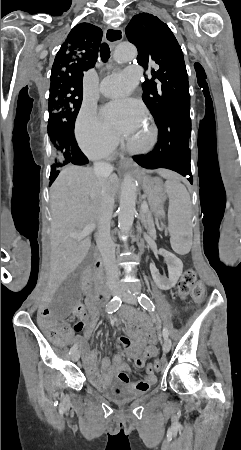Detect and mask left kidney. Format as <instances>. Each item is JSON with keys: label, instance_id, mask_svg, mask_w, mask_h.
Returning <instances> with one entry per match:
<instances>
[{"label": "left kidney", "instance_id": "1", "mask_svg": "<svg viewBox=\"0 0 241 450\" xmlns=\"http://www.w3.org/2000/svg\"><path fill=\"white\" fill-rule=\"evenodd\" d=\"M159 254L163 256L168 266L169 278L160 276L159 270H157L154 264H150V272L156 286H158L160 290H170V288H174L175 284H177L182 274L183 264L181 260H179V258H176L174 254H171V252H166V250H159Z\"/></svg>", "mask_w": 241, "mask_h": 450}]
</instances>
